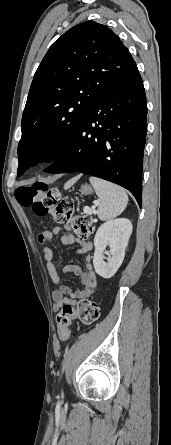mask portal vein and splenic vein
Returning <instances> with one entry per match:
<instances>
[{
  "mask_svg": "<svg viewBox=\"0 0 171 445\" xmlns=\"http://www.w3.org/2000/svg\"><path fill=\"white\" fill-rule=\"evenodd\" d=\"M96 205H98V201H95V202H94V206H93V207H95ZM84 212L87 213V214H92L93 211H92L91 208H89V207H85V208H84Z\"/></svg>",
  "mask_w": 171,
  "mask_h": 445,
  "instance_id": "1",
  "label": "portal vein and splenic vein"
}]
</instances>
